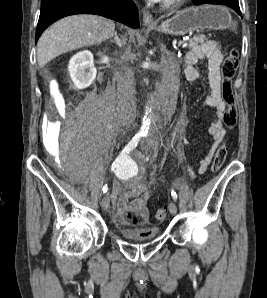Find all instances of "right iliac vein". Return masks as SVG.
I'll return each instance as SVG.
<instances>
[{
	"instance_id": "1",
	"label": "right iliac vein",
	"mask_w": 267,
	"mask_h": 298,
	"mask_svg": "<svg viewBox=\"0 0 267 298\" xmlns=\"http://www.w3.org/2000/svg\"><path fill=\"white\" fill-rule=\"evenodd\" d=\"M110 206V198L108 195H105L103 198H102V201H101V207L104 209V210H107Z\"/></svg>"
}]
</instances>
